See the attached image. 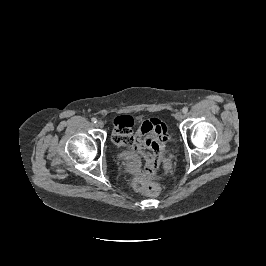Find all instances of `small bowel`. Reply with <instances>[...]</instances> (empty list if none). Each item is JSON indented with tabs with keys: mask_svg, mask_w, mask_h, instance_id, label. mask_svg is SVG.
<instances>
[{
	"mask_svg": "<svg viewBox=\"0 0 266 266\" xmlns=\"http://www.w3.org/2000/svg\"><path fill=\"white\" fill-rule=\"evenodd\" d=\"M133 118L121 115L113 121V141L122 147H129L135 158L128 166L132 174L143 176L152 175L160 165L165 149L167 129L165 124L156 118L143 120L135 133L132 131ZM145 159L146 165L142 169L141 162Z\"/></svg>",
	"mask_w": 266,
	"mask_h": 266,
	"instance_id": "1",
	"label": "small bowel"
}]
</instances>
